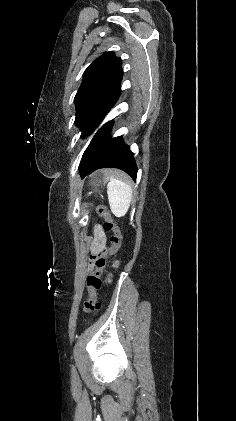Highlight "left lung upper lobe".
<instances>
[{"instance_id": "5c2ea615", "label": "left lung upper lobe", "mask_w": 236, "mask_h": 421, "mask_svg": "<svg viewBox=\"0 0 236 421\" xmlns=\"http://www.w3.org/2000/svg\"><path fill=\"white\" fill-rule=\"evenodd\" d=\"M122 61L107 52L89 65L75 96V124L85 137L121 93Z\"/></svg>"}]
</instances>
